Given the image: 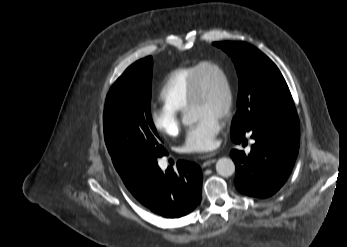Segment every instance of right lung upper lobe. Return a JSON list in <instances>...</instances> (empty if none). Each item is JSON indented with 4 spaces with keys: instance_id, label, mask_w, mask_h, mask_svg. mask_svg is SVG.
Listing matches in <instances>:
<instances>
[{
    "instance_id": "right-lung-upper-lobe-1",
    "label": "right lung upper lobe",
    "mask_w": 347,
    "mask_h": 247,
    "mask_svg": "<svg viewBox=\"0 0 347 247\" xmlns=\"http://www.w3.org/2000/svg\"><path fill=\"white\" fill-rule=\"evenodd\" d=\"M132 170H133V168H130V169H128V170L122 172V173L120 174L121 177H122L123 179H124V178L127 179V178L130 176Z\"/></svg>"
}]
</instances>
